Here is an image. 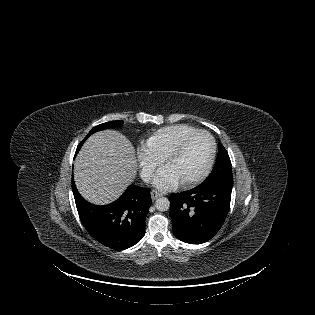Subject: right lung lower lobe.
Here are the masks:
<instances>
[{"mask_svg": "<svg viewBox=\"0 0 315 315\" xmlns=\"http://www.w3.org/2000/svg\"><path fill=\"white\" fill-rule=\"evenodd\" d=\"M72 190L79 217L90 235L114 250L138 243L145 234V219L152 203L150 189L130 185L115 202L97 206L78 192L72 178Z\"/></svg>", "mask_w": 315, "mask_h": 315, "instance_id": "right-lung-lower-lobe-1", "label": "right lung lower lobe"}]
</instances>
